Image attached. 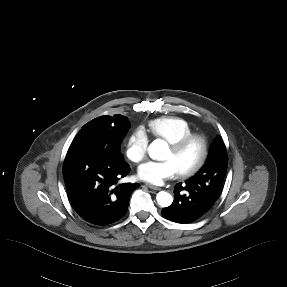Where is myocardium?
Returning a JSON list of instances; mask_svg holds the SVG:
<instances>
[{
  "label": "myocardium",
  "mask_w": 287,
  "mask_h": 287,
  "mask_svg": "<svg viewBox=\"0 0 287 287\" xmlns=\"http://www.w3.org/2000/svg\"><path fill=\"white\" fill-rule=\"evenodd\" d=\"M194 143L199 144L200 147V154L198 156V159L193 165L179 171L178 174L180 177H190L197 173L203 167L208 156L209 144L207 139L203 135L195 133L188 135L175 143L169 144V148L174 154H180Z\"/></svg>",
  "instance_id": "1"
}]
</instances>
